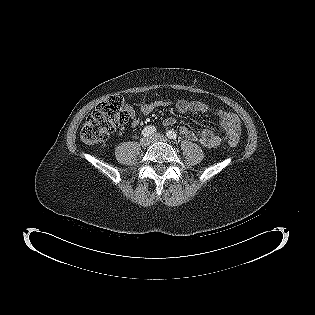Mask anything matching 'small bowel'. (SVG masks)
I'll return each instance as SVG.
<instances>
[{
	"label": "small bowel",
	"mask_w": 315,
	"mask_h": 315,
	"mask_svg": "<svg viewBox=\"0 0 315 315\" xmlns=\"http://www.w3.org/2000/svg\"><path fill=\"white\" fill-rule=\"evenodd\" d=\"M173 102L169 100H156L149 103H143L140 106V116L137 115L132 105L127 104L126 110L132 119V126L137 127L141 122V117L147 116L157 108H164L172 105ZM175 107L180 113L196 112V113H213L219 118L220 126L223 129L225 135L210 130L204 129L202 131H195L187 126L180 128V133L190 140L199 142L201 145L214 148L217 147L222 140L238 141L241 132V122L237 115L234 113L225 111L223 109L214 108L201 101H193L180 99L175 102ZM176 123L174 117H167L164 119L163 124L165 126H172Z\"/></svg>",
	"instance_id": "small-bowel-1"
}]
</instances>
